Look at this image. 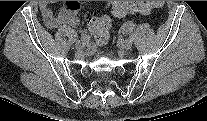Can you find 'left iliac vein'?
<instances>
[{
	"label": "left iliac vein",
	"mask_w": 207,
	"mask_h": 121,
	"mask_svg": "<svg viewBox=\"0 0 207 121\" xmlns=\"http://www.w3.org/2000/svg\"><path fill=\"white\" fill-rule=\"evenodd\" d=\"M132 47V41L130 40H124L121 42V48L124 50H129Z\"/></svg>",
	"instance_id": "1"
}]
</instances>
